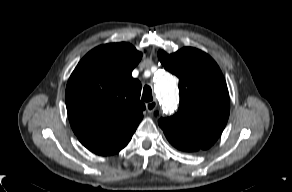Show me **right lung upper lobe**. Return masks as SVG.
Instances as JSON below:
<instances>
[{
	"label": "right lung upper lobe",
	"instance_id": "1",
	"mask_svg": "<svg viewBox=\"0 0 292 192\" xmlns=\"http://www.w3.org/2000/svg\"><path fill=\"white\" fill-rule=\"evenodd\" d=\"M142 53L129 43L98 46L71 74L65 93L71 127L92 152L127 145L143 118L141 84L131 76Z\"/></svg>",
	"mask_w": 292,
	"mask_h": 192
}]
</instances>
